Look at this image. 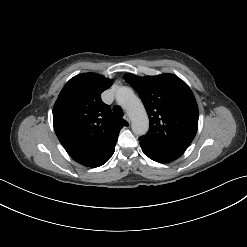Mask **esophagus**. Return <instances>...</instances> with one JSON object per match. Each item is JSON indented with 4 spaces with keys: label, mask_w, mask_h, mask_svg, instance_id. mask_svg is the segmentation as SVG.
<instances>
[{
    "label": "esophagus",
    "mask_w": 247,
    "mask_h": 247,
    "mask_svg": "<svg viewBox=\"0 0 247 247\" xmlns=\"http://www.w3.org/2000/svg\"><path fill=\"white\" fill-rule=\"evenodd\" d=\"M124 119L128 122V123H130V117L126 114L125 116H124Z\"/></svg>",
    "instance_id": "1"
}]
</instances>
